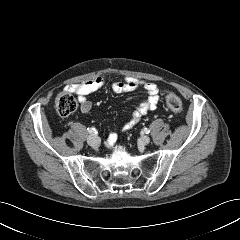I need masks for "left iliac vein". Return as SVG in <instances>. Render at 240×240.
<instances>
[{
	"label": "left iliac vein",
	"mask_w": 240,
	"mask_h": 240,
	"mask_svg": "<svg viewBox=\"0 0 240 240\" xmlns=\"http://www.w3.org/2000/svg\"><path fill=\"white\" fill-rule=\"evenodd\" d=\"M149 142H150V137H148V136H142L139 139V144L142 146L149 144Z\"/></svg>",
	"instance_id": "1"
}]
</instances>
